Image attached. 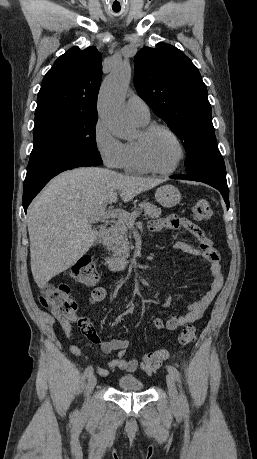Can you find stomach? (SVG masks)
<instances>
[{
	"label": "stomach",
	"mask_w": 257,
	"mask_h": 459,
	"mask_svg": "<svg viewBox=\"0 0 257 459\" xmlns=\"http://www.w3.org/2000/svg\"><path fill=\"white\" fill-rule=\"evenodd\" d=\"M157 202L163 207H174L181 201L179 190L173 185H164L155 192Z\"/></svg>",
	"instance_id": "stomach-1"
}]
</instances>
